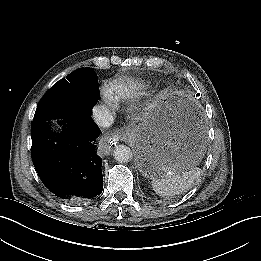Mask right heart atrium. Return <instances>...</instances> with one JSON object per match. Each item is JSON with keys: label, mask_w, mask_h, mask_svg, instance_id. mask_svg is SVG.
I'll use <instances>...</instances> for the list:
<instances>
[{"label": "right heart atrium", "mask_w": 261, "mask_h": 261, "mask_svg": "<svg viewBox=\"0 0 261 261\" xmlns=\"http://www.w3.org/2000/svg\"><path fill=\"white\" fill-rule=\"evenodd\" d=\"M103 110L112 112L114 108V99L110 94L105 95V104L102 106Z\"/></svg>", "instance_id": "d8ad5b80"}]
</instances>
